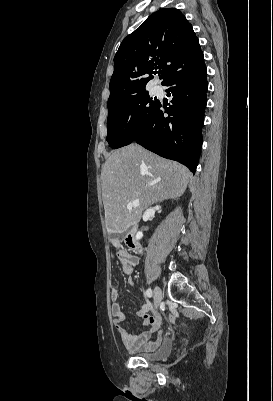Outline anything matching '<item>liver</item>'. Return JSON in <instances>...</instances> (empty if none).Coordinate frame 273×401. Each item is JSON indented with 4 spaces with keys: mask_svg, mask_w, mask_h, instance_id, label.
Masks as SVG:
<instances>
[{
    "mask_svg": "<svg viewBox=\"0 0 273 401\" xmlns=\"http://www.w3.org/2000/svg\"><path fill=\"white\" fill-rule=\"evenodd\" d=\"M101 176L108 235L126 233L139 223L144 209L165 198L181 196L193 178L183 164L161 158L139 144L111 152ZM132 201H139V207L127 209Z\"/></svg>",
    "mask_w": 273,
    "mask_h": 401,
    "instance_id": "1",
    "label": "liver"
}]
</instances>
